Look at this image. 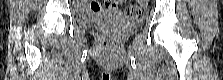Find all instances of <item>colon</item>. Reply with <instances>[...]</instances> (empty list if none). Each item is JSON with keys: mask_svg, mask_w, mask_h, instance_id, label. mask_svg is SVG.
Instances as JSON below:
<instances>
[{"mask_svg": "<svg viewBox=\"0 0 223 80\" xmlns=\"http://www.w3.org/2000/svg\"><path fill=\"white\" fill-rule=\"evenodd\" d=\"M126 13L131 19L137 20L141 16V9L135 4L129 5L126 7Z\"/></svg>", "mask_w": 223, "mask_h": 80, "instance_id": "5ec220e1", "label": "colon"}]
</instances>
